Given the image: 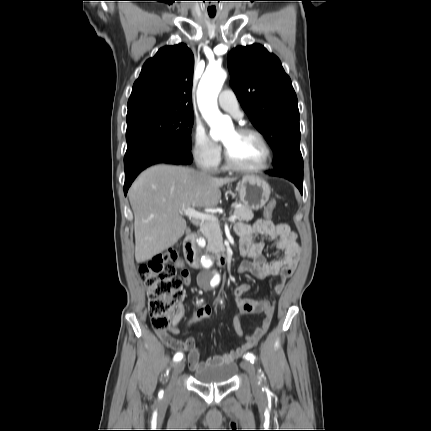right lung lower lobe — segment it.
Here are the masks:
<instances>
[{
	"mask_svg": "<svg viewBox=\"0 0 431 431\" xmlns=\"http://www.w3.org/2000/svg\"><path fill=\"white\" fill-rule=\"evenodd\" d=\"M192 160L190 150L161 137H148L127 146L124 157L125 195L133 180L145 168L157 163L190 164Z\"/></svg>",
	"mask_w": 431,
	"mask_h": 431,
	"instance_id": "1",
	"label": "right lung lower lobe"
}]
</instances>
